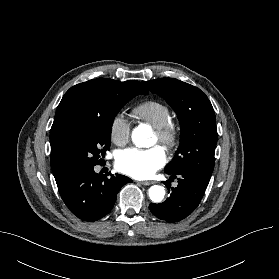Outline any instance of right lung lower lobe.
Segmentation results:
<instances>
[{
  "mask_svg": "<svg viewBox=\"0 0 279 279\" xmlns=\"http://www.w3.org/2000/svg\"><path fill=\"white\" fill-rule=\"evenodd\" d=\"M132 180L115 174L110 178L97 174L94 167L84 168L70 175L58 186L68 209L79 219L94 222L106 216L112 209L117 193Z\"/></svg>",
  "mask_w": 279,
  "mask_h": 279,
  "instance_id": "98d812e1",
  "label": "right lung lower lobe"
}]
</instances>
